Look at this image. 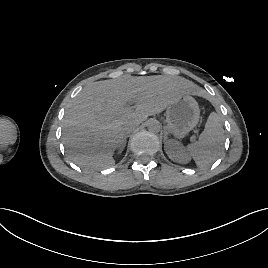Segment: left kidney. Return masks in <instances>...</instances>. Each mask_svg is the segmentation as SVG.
Wrapping results in <instances>:
<instances>
[{"label":"left kidney","instance_id":"1","mask_svg":"<svg viewBox=\"0 0 268 268\" xmlns=\"http://www.w3.org/2000/svg\"><path fill=\"white\" fill-rule=\"evenodd\" d=\"M166 153L169 158L177 163H188L190 161V156L184 146L175 140H169L165 144Z\"/></svg>","mask_w":268,"mask_h":268}]
</instances>
